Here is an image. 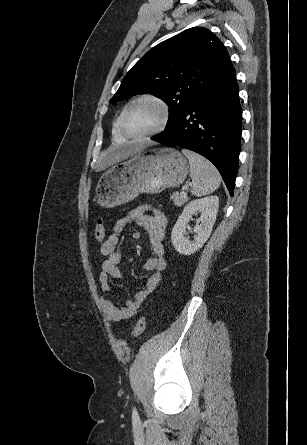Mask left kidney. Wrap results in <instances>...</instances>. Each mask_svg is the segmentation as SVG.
<instances>
[{
  "label": "left kidney",
  "mask_w": 307,
  "mask_h": 445,
  "mask_svg": "<svg viewBox=\"0 0 307 445\" xmlns=\"http://www.w3.org/2000/svg\"><path fill=\"white\" fill-rule=\"evenodd\" d=\"M218 204V196H205V198L191 200L184 206V210L180 214L177 223H175L171 235L172 245L178 253H181V255H193V253L202 249L204 243L208 241L211 235L218 212ZM197 212H201V216L197 220V223H201V225L195 227V237L193 241H189L188 237H186V229H188V223H190L192 214H197Z\"/></svg>",
  "instance_id": "left-kidney-1"
}]
</instances>
